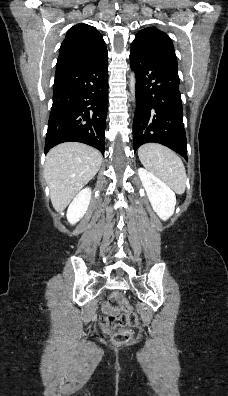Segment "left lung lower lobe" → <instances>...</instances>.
<instances>
[{
  "mask_svg": "<svg viewBox=\"0 0 228 396\" xmlns=\"http://www.w3.org/2000/svg\"><path fill=\"white\" fill-rule=\"evenodd\" d=\"M130 66L136 76L134 151L145 143H160L187 160L177 61L165 53L132 44Z\"/></svg>",
  "mask_w": 228,
  "mask_h": 396,
  "instance_id": "1",
  "label": "left lung lower lobe"
}]
</instances>
